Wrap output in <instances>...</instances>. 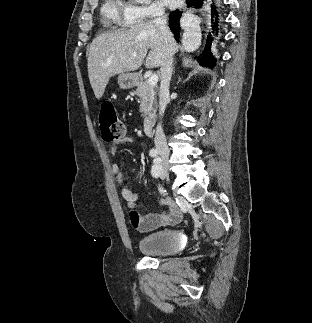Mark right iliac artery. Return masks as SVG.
Instances as JSON below:
<instances>
[{
  "instance_id": "82829eb1",
  "label": "right iliac artery",
  "mask_w": 312,
  "mask_h": 323,
  "mask_svg": "<svg viewBox=\"0 0 312 323\" xmlns=\"http://www.w3.org/2000/svg\"><path fill=\"white\" fill-rule=\"evenodd\" d=\"M154 166L156 167V168H158L159 170H161V159L160 158H156V159H154ZM159 190H160V192L161 193H164V192H166V190H164L163 188H159Z\"/></svg>"
}]
</instances>
